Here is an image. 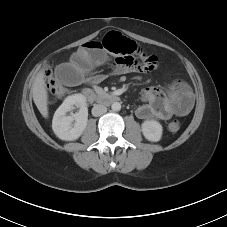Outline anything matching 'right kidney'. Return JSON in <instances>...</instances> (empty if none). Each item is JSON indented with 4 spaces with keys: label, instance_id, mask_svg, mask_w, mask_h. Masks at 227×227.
<instances>
[{
    "label": "right kidney",
    "instance_id": "right-kidney-1",
    "mask_svg": "<svg viewBox=\"0 0 227 227\" xmlns=\"http://www.w3.org/2000/svg\"><path fill=\"white\" fill-rule=\"evenodd\" d=\"M79 107V112L73 116H66L68 111L73 107ZM75 121V123H73ZM88 108L86 98L82 94L68 96L56 110L53 120L52 129L54 134L61 140L74 141L78 139L87 126Z\"/></svg>",
    "mask_w": 227,
    "mask_h": 227
}]
</instances>
